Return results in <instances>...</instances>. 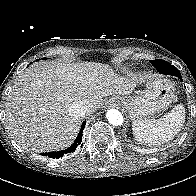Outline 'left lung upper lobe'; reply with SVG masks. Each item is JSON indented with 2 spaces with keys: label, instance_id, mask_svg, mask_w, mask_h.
<instances>
[{
  "label": "left lung upper lobe",
  "instance_id": "left-lung-upper-lobe-1",
  "mask_svg": "<svg viewBox=\"0 0 196 196\" xmlns=\"http://www.w3.org/2000/svg\"><path fill=\"white\" fill-rule=\"evenodd\" d=\"M150 63H152L161 74L174 76L180 74V71L175 66L171 65L170 63L164 60H152L150 61Z\"/></svg>",
  "mask_w": 196,
  "mask_h": 196
}]
</instances>
